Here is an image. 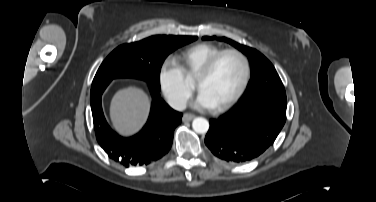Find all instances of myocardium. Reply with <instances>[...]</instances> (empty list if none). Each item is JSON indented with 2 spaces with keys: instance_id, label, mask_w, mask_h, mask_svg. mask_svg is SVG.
<instances>
[{
  "instance_id": "f54148a6",
  "label": "myocardium",
  "mask_w": 376,
  "mask_h": 202,
  "mask_svg": "<svg viewBox=\"0 0 376 202\" xmlns=\"http://www.w3.org/2000/svg\"><path fill=\"white\" fill-rule=\"evenodd\" d=\"M225 55H234L240 59L243 65V77L242 81L240 83L239 88L237 91L223 104L214 107V110L217 112L225 111L229 109L244 93L245 89L247 88V85L249 83L250 75H251V64L248 59V57L241 52L240 50L229 48V49H223L213 55L211 58H209L205 64L201 67L199 72L197 73L195 77V85L197 87V83L208 77L212 70L214 69L217 62L220 60L221 57Z\"/></svg>"
}]
</instances>
